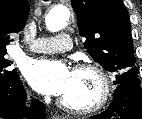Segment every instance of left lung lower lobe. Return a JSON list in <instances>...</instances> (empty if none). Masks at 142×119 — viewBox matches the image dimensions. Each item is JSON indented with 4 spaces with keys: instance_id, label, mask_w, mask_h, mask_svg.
Segmentation results:
<instances>
[{
    "instance_id": "1",
    "label": "left lung lower lobe",
    "mask_w": 142,
    "mask_h": 119,
    "mask_svg": "<svg viewBox=\"0 0 142 119\" xmlns=\"http://www.w3.org/2000/svg\"><path fill=\"white\" fill-rule=\"evenodd\" d=\"M142 116V89L137 81L117 86L111 105L101 114L90 119H140Z\"/></svg>"
}]
</instances>
